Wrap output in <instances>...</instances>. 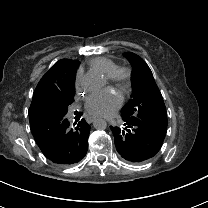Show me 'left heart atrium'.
<instances>
[{
	"label": "left heart atrium",
	"mask_w": 208,
	"mask_h": 208,
	"mask_svg": "<svg viewBox=\"0 0 208 208\" xmlns=\"http://www.w3.org/2000/svg\"><path fill=\"white\" fill-rule=\"evenodd\" d=\"M83 106L92 115L107 116L115 109L116 103L112 99L91 94L85 99Z\"/></svg>",
	"instance_id": "obj_1"
}]
</instances>
